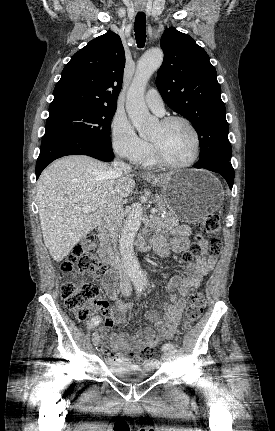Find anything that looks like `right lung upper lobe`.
<instances>
[{"label":"right lung upper lobe","mask_w":275,"mask_h":431,"mask_svg":"<svg viewBox=\"0 0 275 431\" xmlns=\"http://www.w3.org/2000/svg\"><path fill=\"white\" fill-rule=\"evenodd\" d=\"M125 53L112 31L90 41L64 67L49 113L80 107H116L122 87Z\"/></svg>","instance_id":"cb5924a9"}]
</instances>
